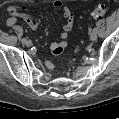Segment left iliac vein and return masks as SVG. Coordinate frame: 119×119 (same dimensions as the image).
I'll list each match as a JSON object with an SVG mask.
<instances>
[{
    "label": "left iliac vein",
    "instance_id": "left-iliac-vein-1",
    "mask_svg": "<svg viewBox=\"0 0 119 119\" xmlns=\"http://www.w3.org/2000/svg\"><path fill=\"white\" fill-rule=\"evenodd\" d=\"M90 40L91 41H96L97 40V33L96 32H92L90 35Z\"/></svg>",
    "mask_w": 119,
    "mask_h": 119
}]
</instances>
